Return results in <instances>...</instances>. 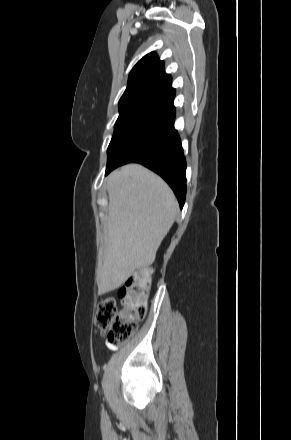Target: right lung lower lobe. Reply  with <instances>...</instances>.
<instances>
[{
	"label": "right lung lower lobe",
	"instance_id": "right-lung-lower-lobe-1",
	"mask_svg": "<svg viewBox=\"0 0 291 440\" xmlns=\"http://www.w3.org/2000/svg\"><path fill=\"white\" fill-rule=\"evenodd\" d=\"M174 97L175 89L171 88L153 101L112 158L105 174L127 163H140L169 184L182 208L186 196V160L174 128Z\"/></svg>",
	"mask_w": 291,
	"mask_h": 440
}]
</instances>
